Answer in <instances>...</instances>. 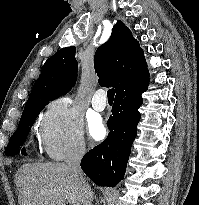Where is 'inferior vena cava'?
Masks as SVG:
<instances>
[{
	"mask_svg": "<svg viewBox=\"0 0 199 205\" xmlns=\"http://www.w3.org/2000/svg\"><path fill=\"white\" fill-rule=\"evenodd\" d=\"M85 152H86L85 146H80L70 151L66 157V164L69 170L72 172L73 176L80 183L82 189L84 190L87 196L88 204L91 205L93 193L88 183L86 182L83 172L80 167V162Z\"/></svg>",
	"mask_w": 199,
	"mask_h": 205,
	"instance_id": "obj_1",
	"label": "inferior vena cava"
}]
</instances>
